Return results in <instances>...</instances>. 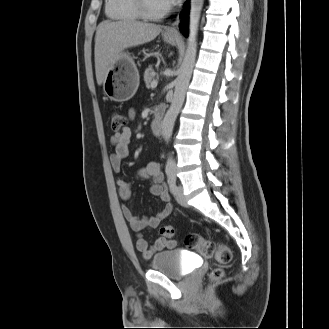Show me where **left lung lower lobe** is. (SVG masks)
<instances>
[{"label":"left lung lower lobe","instance_id":"0a47b994","mask_svg":"<svg viewBox=\"0 0 329 329\" xmlns=\"http://www.w3.org/2000/svg\"><path fill=\"white\" fill-rule=\"evenodd\" d=\"M188 14H189V4L188 1L185 4V9L180 14L182 18L181 23L179 25L180 31L187 36L188 35Z\"/></svg>","mask_w":329,"mask_h":329}]
</instances>
